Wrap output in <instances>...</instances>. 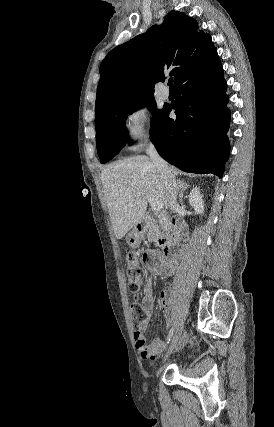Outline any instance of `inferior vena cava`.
Listing matches in <instances>:
<instances>
[{
    "label": "inferior vena cava",
    "instance_id": "1",
    "mask_svg": "<svg viewBox=\"0 0 274 427\" xmlns=\"http://www.w3.org/2000/svg\"><path fill=\"white\" fill-rule=\"evenodd\" d=\"M146 154H148V156H150L153 164H155V166H157V168H160V170H168V166L166 164V162H164V160H162V158H160L156 148H154L153 144H149L147 150H146ZM170 208L171 210H174V212H176L177 208H179L178 204H177V196H175V194H173V196H171L170 198Z\"/></svg>",
    "mask_w": 274,
    "mask_h": 427
}]
</instances>
